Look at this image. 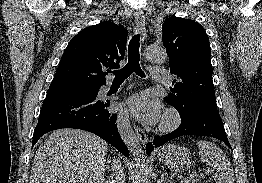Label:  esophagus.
<instances>
[{
    "mask_svg": "<svg viewBox=\"0 0 262 183\" xmlns=\"http://www.w3.org/2000/svg\"><path fill=\"white\" fill-rule=\"evenodd\" d=\"M134 16H135V23L141 32V40L144 41L147 37L146 27H145V17L142 12H136ZM135 132L139 141L142 144H145L148 139L146 133L138 126H135Z\"/></svg>",
    "mask_w": 262,
    "mask_h": 183,
    "instance_id": "34e87169",
    "label": "esophagus"
}]
</instances>
